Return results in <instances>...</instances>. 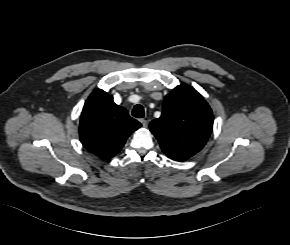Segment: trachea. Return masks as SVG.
<instances>
[{"label":"trachea","instance_id":"3493384b","mask_svg":"<svg viewBox=\"0 0 290 245\" xmlns=\"http://www.w3.org/2000/svg\"><path fill=\"white\" fill-rule=\"evenodd\" d=\"M132 115L136 118H143L144 117V108L142 105L137 104L134 106L132 110Z\"/></svg>","mask_w":290,"mask_h":245}]
</instances>
